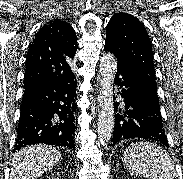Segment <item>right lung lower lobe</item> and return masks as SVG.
<instances>
[{
  "label": "right lung lower lobe",
  "instance_id": "1",
  "mask_svg": "<svg viewBox=\"0 0 183 179\" xmlns=\"http://www.w3.org/2000/svg\"><path fill=\"white\" fill-rule=\"evenodd\" d=\"M76 84L37 81L25 88L14 150L36 143L75 150Z\"/></svg>",
  "mask_w": 183,
  "mask_h": 179
}]
</instances>
